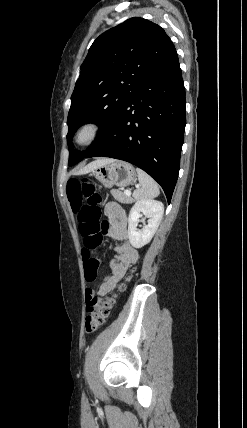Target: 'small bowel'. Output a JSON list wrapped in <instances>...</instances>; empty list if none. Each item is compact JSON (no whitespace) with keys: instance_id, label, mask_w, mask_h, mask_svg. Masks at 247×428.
Returning <instances> with one entry per match:
<instances>
[{"instance_id":"small-bowel-1","label":"small bowel","mask_w":247,"mask_h":428,"mask_svg":"<svg viewBox=\"0 0 247 428\" xmlns=\"http://www.w3.org/2000/svg\"><path fill=\"white\" fill-rule=\"evenodd\" d=\"M105 214L108 217L106 233L118 241L115 246V255L109 260L110 273L99 283L97 290L87 288L85 299L94 298L96 295L103 296L110 292L117 283L125 276L128 268L135 264L139 254L129 241V230L127 217L124 210L116 203L109 202L105 206Z\"/></svg>"}]
</instances>
